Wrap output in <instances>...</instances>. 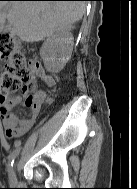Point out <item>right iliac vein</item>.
Returning a JSON list of instances; mask_svg holds the SVG:
<instances>
[{"mask_svg": "<svg viewBox=\"0 0 137 189\" xmlns=\"http://www.w3.org/2000/svg\"><path fill=\"white\" fill-rule=\"evenodd\" d=\"M9 178H10V182L11 183L15 182V180H16V171H15V168L11 171Z\"/></svg>", "mask_w": 137, "mask_h": 189, "instance_id": "right-iliac-vein-1", "label": "right iliac vein"}]
</instances>
